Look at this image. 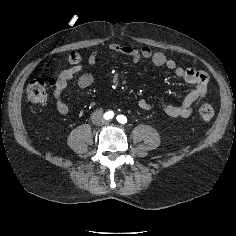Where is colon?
I'll use <instances>...</instances> for the list:
<instances>
[{"instance_id":"1","label":"colon","mask_w":236,"mask_h":236,"mask_svg":"<svg viewBox=\"0 0 236 236\" xmlns=\"http://www.w3.org/2000/svg\"><path fill=\"white\" fill-rule=\"evenodd\" d=\"M67 61L70 64L75 65L80 62V57L76 53H71L67 57ZM54 84L55 80L52 78L49 80H44L42 78H36L32 80L26 88V94L29 103H31L32 105L45 104L48 98V90ZM198 112L200 117L207 122L212 120V118L214 117L213 107L203 100H199L198 102Z\"/></svg>"}]
</instances>
